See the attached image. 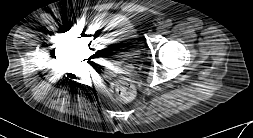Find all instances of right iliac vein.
<instances>
[{"mask_svg": "<svg viewBox=\"0 0 253 138\" xmlns=\"http://www.w3.org/2000/svg\"><path fill=\"white\" fill-rule=\"evenodd\" d=\"M71 29H72L73 31H77V30L79 29V26H78L77 24H73V25L71 26Z\"/></svg>", "mask_w": 253, "mask_h": 138, "instance_id": "1", "label": "right iliac vein"}]
</instances>
